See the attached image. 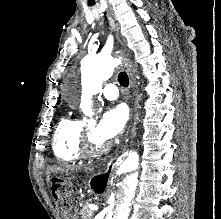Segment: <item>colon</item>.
<instances>
[{
    "mask_svg": "<svg viewBox=\"0 0 221 219\" xmlns=\"http://www.w3.org/2000/svg\"><path fill=\"white\" fill-rule=\"evenodd\" d=\"M53 190L57 192L66 201H70V210L73 209L75 203V192L65 183H54Z\"/></svg>",
    "mask_w": 221,
    "mask_h": 219,
    "instance_id": "colon-1",
    "label": "colon"
}]
</instances>
